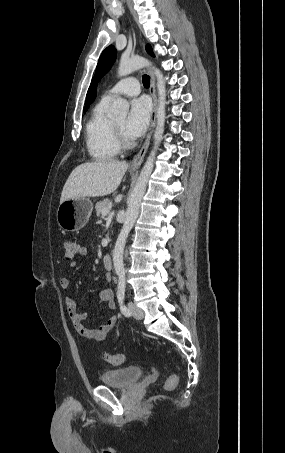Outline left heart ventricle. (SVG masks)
Returning <instances> with one entry per match:
<instances>
[{
    "mask_svg": "<svg viewBox=\"0 0 285 453\" xmlns=\"http://www.w3.org/2000/svg\"><path fill=\"white\" fill-rule=\"evenodd\" d=\"M126 121L127 118L125 116L120 117L115 120V123L122 129V131L127 135L126 133ZM128 136V135H127Z\"/></svg>",
    "mask_w": 285,
    "mask_h": 453,
    "instance_id": "b2bd125f",
    "label": "left heart ventricle"
}]
</instances>
